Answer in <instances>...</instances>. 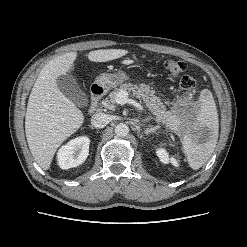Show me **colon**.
Masks as SVG:
<instances>
[{
  "label": "colon",
  "instance_id": "5ec220e1",
  "mask_svg": "<svg viewBox=\"0 0 247 247\" xmlns=\"http://www.w3.org/2000/svg\"><path fill=\"white\" fill-rule=\"evenodd\" d=\"M163 68L170 79H176L186 70V63L181 60L167 59ZM179 86L183 91L192 90L195 87V80L189 75L180 78Z\"/></svg>",
  "mask_w": 247,
  "mask_h": 247
}]
</instances>
